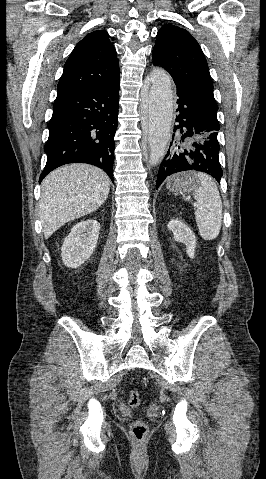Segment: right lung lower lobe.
Instances as JSON below:
<instances>
[{
    "instance_id": "1",
    "label": "right lung lower lobe",
    "mask_w": 266,
    "mask_h": 479,
    "mask_svg": "<svg viewBox=\"0 0 266 479\" xmlns=\"http://www.w3.org/2000/svg\"><path fill=\"white\" fill-rule=\"evenodd\" d=\"M119 78L88 88L57 93L44 146L47 163L40 175L68 163L103 169L113 181L114 136L118 125Z\"/></svg>"
}]
</instances>
